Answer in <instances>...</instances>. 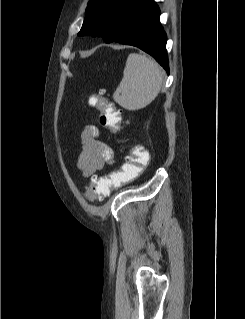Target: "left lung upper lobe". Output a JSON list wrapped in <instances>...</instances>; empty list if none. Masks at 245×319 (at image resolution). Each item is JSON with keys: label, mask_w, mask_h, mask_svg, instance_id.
<instances>
[{"label": "left lung upper lobe", "mask_w": 245, "mask_h": 319, "mask_svg": "<svg viewBox=\"0 0 245 319\" xmlns=\"http://www.w3.org/2000/svg\"><path fill=\"white\" fill-rule=\"evenodd\" d=\"M148 0H90L78 36H101L106 43L117 37L129 17Z\"/></svg>", "instance_id": "left-lung-upper-lobe-1"}]
</instances>
